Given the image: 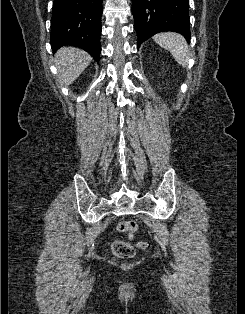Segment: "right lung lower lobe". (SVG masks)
Segmentation results:
<instances>
[{
	"label": "right lung lower lobe",
	"mask_w": 245,
	"mask_h": 314,
	"mask_svg": "<svg viewBox=\"0 0 245 314\" xmlns=\"http://www.w3.org/2000/svg\"><path fill=\"white\" fill-rule=\"evenodd\" d=\"M102 0H54L50 43L55 52L73 45L88 52L97 62L101 54Z\"/></svg>",
	"instance_id": "right-lung-lower-lobe-1"
}]
</instances>
